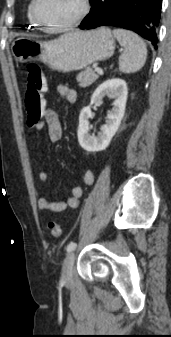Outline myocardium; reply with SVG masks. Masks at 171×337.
Wrapping results in <instances>:
<instances>
[{
    "instance_id": "f54148a6",
    "label": "myocardium",
    "mask_w": 171,
    "mask_h": 337,
    "mask_svg": "<svg viewBox=\"0 0 171 337\" xmlns=\"http://www.w3.org/2000/svg\"><path fill=\"white\" fill-rule=\"evenodd\" d=\"M40 0H32V15L33 18L35 19L36 23L42 27L44 30L49 31V32H60V31H65L68 29H71L81 23L86 16L89 14L90 11V1L89 0H81V10L78 13V15L73 18L72 20L60 24V25H49L46 22L42 20V18L39 15L38 12V4Z\"/></svg>"
}]
</instances>
